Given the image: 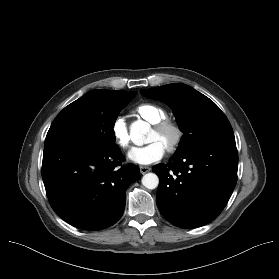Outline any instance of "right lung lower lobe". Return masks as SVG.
Wrapping results in <instances>:
<instances>
[{
  "mask_svg": "<svg viewBox=\"0 0 279 279\" xmlns=\"http://www.w3.org/2000/svg\"><path fill=\"white\" fill-rule=\"evenodd\" d=\"M116 145L100 150L67 142L44 148L42 178L49 202L64 221L83 230L116 223L125 209V193L139 178V167L122 166Z\"/></svg>",
  "mask_w": 279,
  "mask_h": 279,
  "instance_id": "obj_1",
  "label": "right lung lower lobe"
}]
</instances>
